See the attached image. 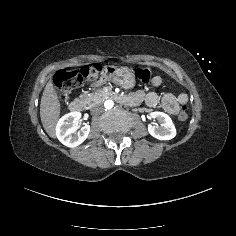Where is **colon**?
<instances>
[{
	"instance_id": "5ec220e1",
	"label": "colon",
	"mask_w": 236,
	"mask_h": 236,
	"mask_svg": "<svg viewBox=\"0 0 236 236\" xmlns=\"http://www.w3.org/2000/svg\"><path fill=\"white\" fill-rule=\"evenodd\" d=\"M102 71V65L95 63L81 68L60 70L54 76V84L60 100L66 101L72 91L82 84L84 80H96ZM136 76L143 82H149L152 76L150 67H139ZM179 119L185 121L188 118L187 107L183 105L180 109Z\"/></svg>"
}]
</instances>
